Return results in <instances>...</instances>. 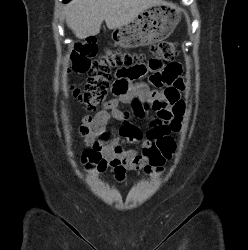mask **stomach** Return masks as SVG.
<instances>
[{"instance_id": "stomach-1", "label": "stomach", "mask_w": 248, "mask_h": 250, "mask_svg": "<svg viewBox=\"0 0 248 250\" xmlns=\"http://www.w3.org/2000/svg\"><path fill=\"white\" fill-rule=\"evenodd\" d=\"M179 21L178 8L173 4L153 5L129 24L114 29L111 38L123 48L151 45L166 39Z\"/></svg>"}]
</instances>
